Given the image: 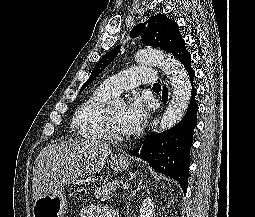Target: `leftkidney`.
Listing matches in <instances>:
<instances>
[{
  "mask_svg": "<svg viewBox=\"0 0 255 217\" xmlns=\"http://www.w3.org/2000/svg\"><path fill=\"white\" fill-rule=\"evenodd\" d=\"M153 216H154V204L148 197L143 200L142 206L140 208V217H153Z\"/></svg>",
  "mask_w": 255,
  "mask_h": 217,
  "instance_id": "obj_1",
  "label": "left kidney"
}]
</instances>
